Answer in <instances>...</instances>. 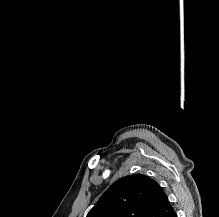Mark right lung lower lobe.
Wrapping results in <instances>:
<instances>
[{
  "mask_svg": "<svg viewBox=\"0 0 219 217\" xmlns=\"http://www.w3.org/2000/svg\"><path fill=\"white\" fill-rule=\"evenodd\" d=\"M168 217H177L175 211H173L170 215H168Z\"/></svg>",
  "mask_w": 219,
  "mask_h": 217,
  "instance_id": "right-lung-lower-lobe-1",
  "label": "right lung lower lobe"
}]
</instances>
